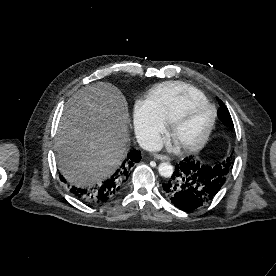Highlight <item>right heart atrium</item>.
Here are the masks:
<instances>
[{"mask_svg":"<svg viewBox=\"0 0 276 276\" xmlns=\"http://www.w3.org/2000/svg\"><path fill=\"white\" fill-rule=\"evenodd\" d=\"M135 128L141 142L146 147L155 148L160 144L166 126L152 113L146 102H139L135 113Z\"/></svg>","mask_w":276,"mask_h":276,"instance_id":"obj_1","label":"right heart atrium"}]
</instances>
